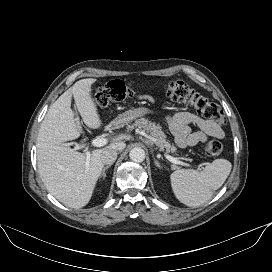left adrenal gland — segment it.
<instances>
[{
  "label": "left adrenal gland",
  "mask_w": 272,
  "mask_h": 272,
  "mask_svg": "<svg viewBox=\"0 0 272 272\" xmlns=\"http://www.w3.org/2000/svg\"><path fill=\"white\" fill-rule=\"evenodd\" d=\"M153 158H154V163H155V165H156L158 168H161L160 163L155 159V157H153Z\"/></svg>",
  "instance_id": "a2214340"
}]
</instances>
